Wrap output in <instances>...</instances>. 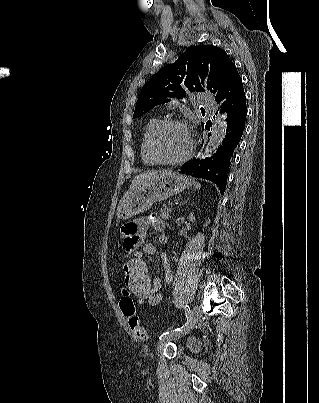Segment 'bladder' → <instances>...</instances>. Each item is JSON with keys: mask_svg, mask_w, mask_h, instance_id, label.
I'll return each mask as SVG.
<instances>
[{"mask_svg": "<svg viewBox=\"0 0 319 403\" xmlns=\"http://www.w3.org/2000/svg\"><path fill=\"white\" fill-rule=\"evenodd\" d=\"M190 347H194L195 343L194 342H189L188 344Z\"/></svg>", "mask_w": 319, "mask_h": 403, "instance_id": "obj_1", "label": "bladder"}]
</instances>
